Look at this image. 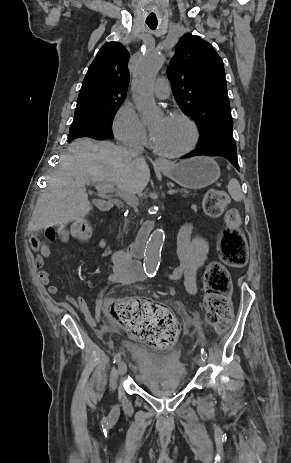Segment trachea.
Here are the masks:
<instances>
[{"label":"trachea","instance_id":"trachea-1","mask_svg":"<svg viewBox=\"0 0 291 463\" xmlns=\"http://www.w3.org/2000/svg\"><path fill=\"white\" fill-rule=\"evenodd\" d=\"M146 24L152 30L156 29V27H157V22H146Z\"/></svg>","mask_w":291,"mask_h":463}]
</instances>
